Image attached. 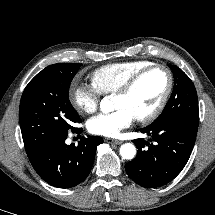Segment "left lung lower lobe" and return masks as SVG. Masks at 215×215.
<instances>
[{"instance_id":"1","label":"left lung lower lobe","mask_w":215,"mask_h":215,"mask_svg":"<svg viewBox=\"0 0 215 215\" xmlns=\"http://www.w3.org/2000/svg\"><path fill=\"white\" fill-rule=\"evenodd\" d=\"M198 127L170 121L139 129L152 137L134 140L137 156L125 166L128 176L140 186L160 187L173 180L186 165L192 152ZM148 146V147H146Z\"/></svg>"}]
</instances>
